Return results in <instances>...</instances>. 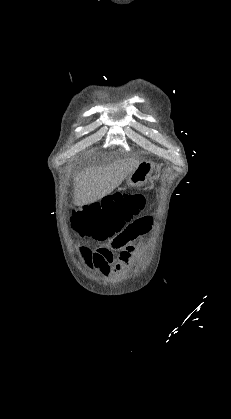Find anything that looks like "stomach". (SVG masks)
<instances>
[{
    "label": "stomach",
    "mask_w": 231,
    "mask_h": 419,
    "mask_svg": "<svg viewBox=\"0 0 231 419\" xmlns=\"http://www.w3.org/2000/svg\"><path fill=\"white\" fill-rule=\"evenodd\" d=\"M154 169V164L150 161H142L127 177V185L141 187L150 179Z\"/></svg>",
    "instance_id": "0dacf381"
}]
</instances>
